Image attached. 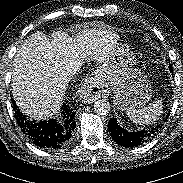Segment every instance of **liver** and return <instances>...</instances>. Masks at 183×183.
<instances>
[{
    "label": "liver",
    "instance_id": "1",
    "mask_svg": "<svg viewBox=\"0 0 183 183\" xmlns=\"http://www.w3.org/2000/svg\"><path fill=\"white\" fill-rule=\"evenodd\" d=\"M115 32L83 30L70 37L59 30L49 40L42 32L29 36L13 61L12 94L22 112L36 120L54 115L63 100L69 78L64 67L72 59L90 58L103 64L117 44Z\"/></svg>",
    "mask_w": 183,
    "mask_h": 183
}]
</instances>
